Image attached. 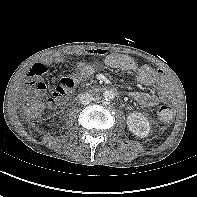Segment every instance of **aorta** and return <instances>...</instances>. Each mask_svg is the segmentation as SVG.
<instances>
[{
	"label": "aorta",
	"mask_w": 197,
	"mask_h": 197,
	"mask_svg": "<svg viewBox=\"0 0 197 197\" xmlns=\"http://www.w3.org/2000/svg\"><path fill=\"white\" fill-rule=\"evenodd\" d=\"M115 97V93L112 90H106L103 92V99L105 101H111Z\"/></svg>",
	"instance_id": "aorta-1"
}]
</instances>
